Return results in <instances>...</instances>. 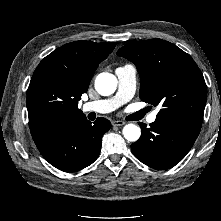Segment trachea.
Masks as SVG:
<instances>
[{"label": "trachea", "mask_w": 221, "mask_h": 221, "mask_svg": "<svg viewBox=\"0 0 221 221\" xmlns=\"http://www.w3.org/2000/svg\"><path fill=\"white\" fill-rule=\"evenodd\" d=\"M147 111L148 109L144 108L140 110L139 112L132 114L130 117L132 120H140L143 118V116L146 114Z\"/></svg>", "instance_id": "1"}]
</instances>
